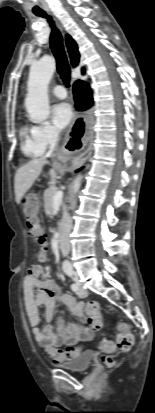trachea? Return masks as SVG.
I'll list each match as a JSON object with an SVG mask.
<instances>
[{
  "label": "trachea",
  "instance_id": "3493384b",
  "mask_svg": "<svg viewBox=\"0 0 155 413\" xmlns=\"http://www.w3.org/2000/svg\"><path fill=\"white\" fill-rule=\"evenodd\" d=\"M36 16L47 18L52 32L50 35V47L56 58L57 71L67 87H69L70 68L63 48V40L61 33L55 27L53 20L46 13H37Z\"/></svg>",
  "mask_w": 155,
  "mask_h": 413
}]
</instances>
